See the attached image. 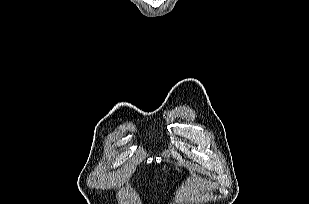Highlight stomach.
<instances>
[{
    "label": "stomach",
    "instance_id": "stomach-1",
    "mask_svg": "<svg viewBox=\"0 0 309 204\" xmlns=\"http://www.w3.org/2000/svg\"><path fill=\"white\" fill-rule=\"evenodd\" d=\"M163 170L166 171V166L163 167Z\"/></svg>",
    "mask_w": 309,
    "mask_h": 204
}]
</instances>
